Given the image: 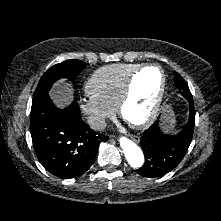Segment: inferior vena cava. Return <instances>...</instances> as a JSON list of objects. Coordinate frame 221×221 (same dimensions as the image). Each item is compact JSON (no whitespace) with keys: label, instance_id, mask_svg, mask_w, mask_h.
<instances>
[{"label":"inferior vena cava","instance_id":"1","mask_svg":"<svg viewBox=\"0 0 221 221\" xmlns=\"http://www.w3.org/2000/svg\"><path fill=\"white\" fill-rule=\"evenodd\" d=\"M86 122L93 130L97 131H102L107 126L105 119L99 116H89Z\"/></svg>","mask_w":221,"mask_h":221}]
</instances>
